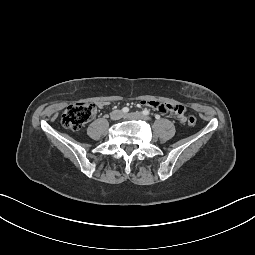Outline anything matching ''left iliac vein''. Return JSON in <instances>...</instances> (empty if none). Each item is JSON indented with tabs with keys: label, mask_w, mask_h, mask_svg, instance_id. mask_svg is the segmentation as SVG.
<instances>
[{
	"label": "left iliac vein",
	"mask_w": 255,
	"mask_h": 255,
	"mask_svg": "<svg viewBox=\"0 0 255 255\" xmlns=\"http://www.w3.org/2000/svg\"><path fill=\"white\" fill-rule=\"evenodd\" d=\"M125 117L127 119L130 120H139V119H147V116H145L143 113L141 112H133V113H129L127 115H125Z\"/></svg>",
	"instance_id": "left-iliac-vein-1"
}]
</instances>
